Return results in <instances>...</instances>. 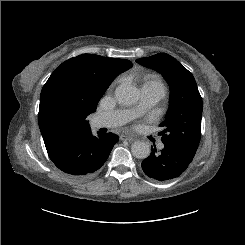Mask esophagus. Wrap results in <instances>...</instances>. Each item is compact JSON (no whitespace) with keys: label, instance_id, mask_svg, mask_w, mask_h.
Instances as JSON below:
<instances>
[{"label":"esophagus","instance_id":"obj_1","mask_svg":"<svg viewBox=\"0 0 245 245\" xmlns=\"http://www.w3.org/2000/svg\"><path fill=\"white\" fill-rule=\"evenodd\" d=\"M120 140H122V141H134L135 139H134V137H132V136H129V135H125V134H121L120 135Z\"/></svg>","mask_w":245,"mask_h":245}]
</instances>
